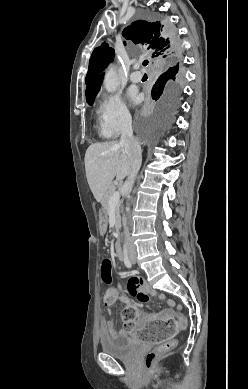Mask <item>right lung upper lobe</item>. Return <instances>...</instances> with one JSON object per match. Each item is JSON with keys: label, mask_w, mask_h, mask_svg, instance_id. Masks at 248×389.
Masks as SVG:
<instances>
[{"label": "right lung upper lobe", "mask_w": 248, "mask_h": 389, "mask_svg": "<svg viewBox=\"0 0 248 389\" xmlns=\"http://www.w3.org/2000/svg\"><path fill=\"white\" fill-rule=\"evenodd\" d=\"M122 35L127 40H132L135 44H140L152 57H155L159 65L166 70L160 75L159 82L173 66L179 64L181 57V47L173 46L166 31L165 24L160 22H148L138 20L126 27ZM114 50L103 42L101 46L94 49L89 60V69L86 75V98L98 92L102 82L104 68L113 60Z\"/></svg>", "instance_id": "right-lung-upper-lobe-1"}]
</instances>
